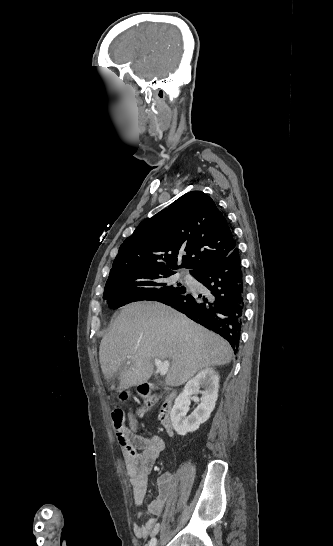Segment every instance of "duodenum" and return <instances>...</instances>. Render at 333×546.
Instances as JSON below:
<instances>
[{"instance_id":"1","label":"duodenum","mask_w":333,"mask_h":546,"mask_svg":"<svg viewBox=\"0 0 333 546\" xmlns=\"http://www.w3.org/2000/svg\"><path fill=\"white\" fill-rule=\"evenodd\" d=\"M141 392L143 395L147 398L153 397L155 395L156 388L149 384H143L141 385ZM175 396L174 391H169L166 399L164 400L163 404L161 405V408L159 410L158 418L165 429L166 433L171 435L173 433L172 428V421H171V410H172V402Z\"/></svg>"}]
</instances>
